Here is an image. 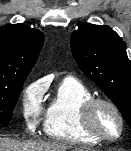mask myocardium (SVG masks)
Instances as JSON below:
<instances>
[{
  "label": "myocardium",
  "instance_id": "f54148a6",
  "mask_svg": "<svg viewBox=\"0 0 131 151\" xmlns=\"http://www.w3.org/2000/svg\"><path fill=\"white\" fill-rule=\"evenodd\" d=\"M105 106L113 111L119 121V133L114 137H108L102 134L95 125V114L99 107ZM81 125L86 133L102 142H115L119 140L125 130V120L118 106L111 100L102 97H91L81 108Z\"/></svg>",
  "mask_w": 131,
  "mask_h": 151
}]
</instances>
